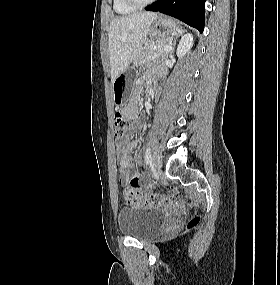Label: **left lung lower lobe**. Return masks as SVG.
<instances>
[{
    "mask_svg": "<svg viewBox=\"0 0 280 285\" xmlns=\"http://www.w3.org/2000/svg\"><path fill=\"white\" fill-rule=\"evenodd\" d=\"M204 4L205 0H158L146 7V10L158 11L178 18L202 33L205 15Z\"/></svg>",
    "mask_w": 280,
    "mask_h": 285,
    "instance_id": "1",
    "label": "left lung lower lobe"
}]
</instances>
